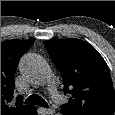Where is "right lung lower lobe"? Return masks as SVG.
Returning a JSON list of instances; mask_svg holds the SVG:
<instances>
[{"instance_id": "obj_1", "label": "right lung lower lobe", "mask_w": 115, "mask_h": 115, "mask_svg": "<svg viewBox=\"0 0 115 115\" xmlns=\"http://www.w3.org/2000/svg\"><path fill=\"white\" fill-rule=\"evenodd\" d=\"M31 115H36V110L34 111V112H32V114Z\"/></svg>"}]
</instances>
